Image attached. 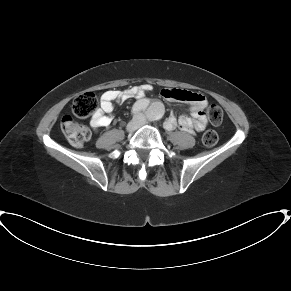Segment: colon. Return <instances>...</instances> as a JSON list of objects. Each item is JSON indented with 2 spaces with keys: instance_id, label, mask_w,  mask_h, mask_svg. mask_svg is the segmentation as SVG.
Returning a JSON list of instances; mask_svg holds the SVG:
<instances>
[{
  "instance_id": "colon-1",
  "label": "colon",
  "mask_w": 291,
  "mask_h": 291,
  "mask_svg": "<svg viewBox=\"0 0 291 291\" xmlns=\"http://www.w3.org/2000/svg\"><path fill=\"white\" fill-rule=\"evenodd\" d=\"M98 107V99L92 92H85L79 95L73 102L72 113L76 118H87L91 116ZM207 118L213 124H220L223 112L217 104H211L206 110ZM61 130L68 141L75 146H82L91 137V130L79 124L71 116H66L61 120ZM218 135L215 131H207L202 137L205 146L211 147L216 144Z\"/></svg>"
}]
</instances>
